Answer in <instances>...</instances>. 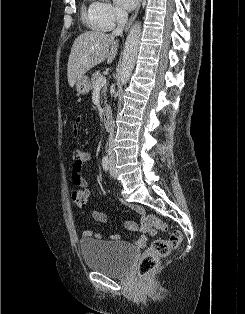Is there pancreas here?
Returning a JSON list of instances; mask_svg holds the SVG:
<instances>
[{
    "label": "pancreas",
    "mask_w": 245,
    "mask_h": 314,
    "mask_svg": "<svg viewBox=\"0 0 245 314\" xmlns=\"http://www.w3.org/2000/svg\"><path fill=\"white\" fill-rule=\"evenodd\" d=\"M102 77L100 72L99 71H96L93 75H92V78H91V83H90V87L91 89H94L95 88V85H96V81L98 78ZM106 93H107V86L104 85L102 90H101V95L105 98L106 100Z\"/></svg>",
    "instance_id": "1"
}]
</instances>
